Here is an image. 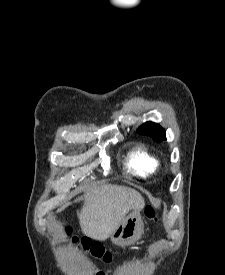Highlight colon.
Returning a JSON list of instances; mask_svg holds the SVG:
<instances>
[{"label": "colon", "mask_w": 225, "mask_h": 275, "mask_svg": "<svg viewBox=\"0 0 225 275\" xmlns=\"http://www.w3.org/2000/svg\"><path fill=\"white\" fill-rule=\"evenodd\" d=\"M145 214L147 218L151 221L157 220V212L153 206H148L145 210ZM64 231L66 234H69V228H64ZM72 243L75 244L78 249H81L85 252H88L96 259L104 262V263H110L112 261V255L110 252L106 251L99 243L94 242L87 238H72ZM101 273H97L96 275H99Z\"/></svg>", "instance_id": "obj_1"}]
</instances>
